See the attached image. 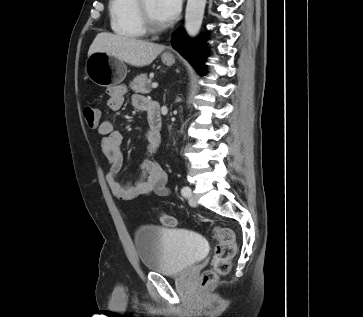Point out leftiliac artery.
Returning a JSON list of instances; mask_svg holds the SVG:
<instances>
[{
  "instance_id": "left-iliac-artery-1",
  "label": "left iliac artery",
  "mask_w": 363,
  "mask_h": 317,
  "mask_svg": "<svg viewBox=\"0 0 363 317\" xmlns=\"http://www.w3.org/2000/svg\"><path fill=\"white\" fill-rule=\"evenodd\" d=\"M190 188L187 187V186H184L182 189H181V193L184 197L188 198L190 196Z\"/></svg>"
}]
</instances>
